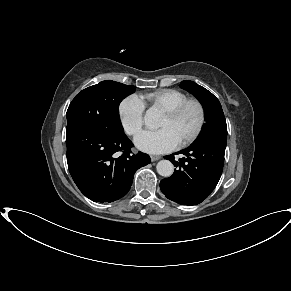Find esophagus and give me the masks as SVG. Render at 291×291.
<instances>
[{"label":"esophagus","instance_id":"esophagus-1","mask_svg":"<svg viewBox=\"0 0 291 291\" xmlns=\"http://www.w3.org/2000/svg\"><path fill=\"white\" fill-rule=\"evenodd\" d=\"M150 158H151V161L154 162V161L159 160L161 158V156H159V155H151Z\"/></svg>","mask_w":291,"mask_h":291}]
</instances>
